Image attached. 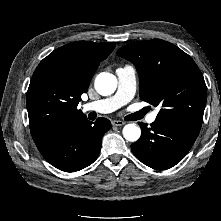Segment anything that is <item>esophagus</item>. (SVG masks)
I'll return each mask as SVG.
<instances>
[{"label":"esophagus","instance_id":"esophagus-1","mask_svg":"<svg viewBox=\"0 0 221 221\" xmlns=\"http://www.w3.org/2000/svg\"><path fill=\"white\" fill-rule=\"evenodd\" d=\"M112 125L113 126H123V125H125V122L121 121V120H113Z\"/></svg>","mask_w":221,"mask_h":221}]
</instances>
